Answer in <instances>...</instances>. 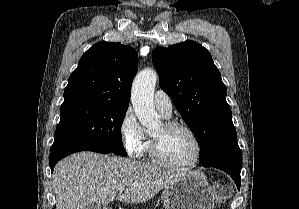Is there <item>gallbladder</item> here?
Returning <instances> with one entry per match:
<instances>
[{
	"label": "gallbladder",
	"mask_w": 299,
	"mask_h": 209,
	"mask_svg": "<svg viewBox=\"0 0 299 209\" xmlns=\"http://www.w3.org/2000/svg\"><path fill=\"white\" fill-rule=\"evenodd\" d=\"M86 209H101V208L99 203L92 202L87 205Z\"/></svg>",
	"instance_id": "obj_1"
}]
</instances>
